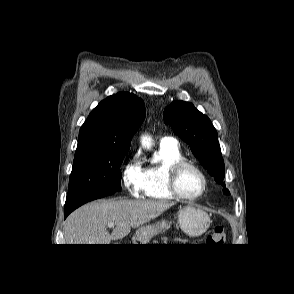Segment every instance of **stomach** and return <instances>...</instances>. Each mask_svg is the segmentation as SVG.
I'll return each mask as SVG.
<instances>
[{
	"label": "stomach",
	"mask_w": 294,
	"mask_h": 294,
	"mask_svg": "<svg viewBox=\"0 0 294 294\" xmlns=\"http://www.w3.org/2000/svg\"><path fill=\"white\" fill-rule=\"evenodd\" d=\"M178 223L185 234L190 237H198L207 231L211 221L205 211L193 206H186L178 213ZM166 227V221L156 225L141 226L135 233L134 244H146L160 229Z\"/></svg>",
	"instance_id": "1"
}]
</instances>
